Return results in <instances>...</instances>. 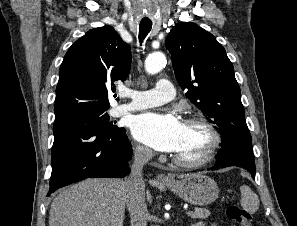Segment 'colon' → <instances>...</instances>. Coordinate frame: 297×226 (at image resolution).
<instances>
[{
    "label": "colon",
    "mask_w": 297,
    "mask_h": 226,
    "mask_svg": "<svg viewBox=\"0 0 297 226\" xmlns=\"http://www.w3.org/2000/svg\"><path fill=\"white\" fill-rule=\"evenodd\" d=\"M226 214L229 219L241 226H253L252 215L237 205H229L226 209Z\"/></svg>",
    "instance_id": "obj_1"
}]
</instances>
